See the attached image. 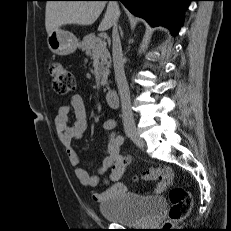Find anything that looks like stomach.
Instances as JSON below:
<instances>
[{"label":"stomach","mask_w":231,"mask_h":231,"mask_svg":"<svg viewBox=\"0 0 231 231\" xmlns=\"http://www.w3.org/2000/svg\"><path fill=\"white\" fill-rule=\"evenodd\" d=\"M47 44L54 54L64 56L76 51L78 39L73 33L57 28L48 35Z\"/></svg>","instance_id":"1"}]
</instances>
